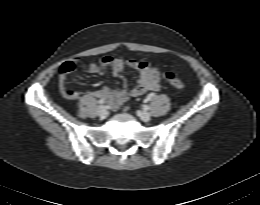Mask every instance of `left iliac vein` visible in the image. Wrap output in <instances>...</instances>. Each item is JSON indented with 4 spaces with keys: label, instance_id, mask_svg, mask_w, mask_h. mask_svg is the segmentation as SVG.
<instances>
[{
    "label": "left iliac vein",
    "instance_id": "4c4485c4",
    "mask_svg": "<svg viewBox=\"0 0 260 205\" xmlns=\"http://www.w3.org/2000/svg\"><path fill=\"white\" fill-rule=\"evenodd\" d=\"M138 116L144 122H148L151 118L150 114L146 111H139Z\"/></svg>",
    "mask_w": 260,
    "mask_h": 205
}]
</instances>
